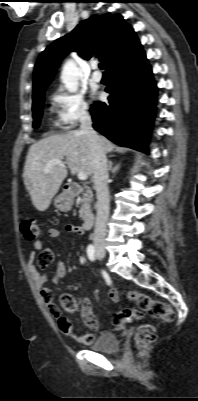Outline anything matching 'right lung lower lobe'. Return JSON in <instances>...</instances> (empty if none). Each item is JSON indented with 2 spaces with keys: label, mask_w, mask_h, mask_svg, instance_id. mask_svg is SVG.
Segmentation results:
<instances>
[{
  "label": "right lung lower lobe",
  "mask_w": 198,
  "mask_h": 401,
  "mask_svg": "<svg viewBox=\"0 0 198 401\" xmlns=\"http://www.w3.org/2000/svg\"><path fill=\"white\" fill-rule=\"evenodd\" d=\"M108 103L95 102L93 127L120 146L145 151L156 101V84L142 46L111 66ZM151 110L152 113H148Z\"/></svg>",
  "instance_id": "right-lung-lower-lobe-1"
}]
</instances>
